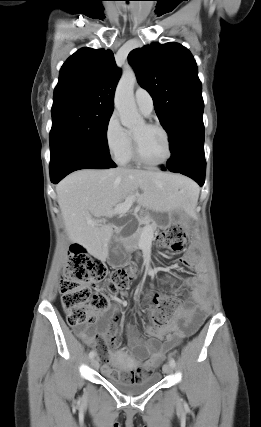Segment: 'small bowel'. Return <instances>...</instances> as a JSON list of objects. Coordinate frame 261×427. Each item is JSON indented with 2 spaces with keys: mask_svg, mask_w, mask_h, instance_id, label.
<instances>
[{
  "mask_svg": "<svg viewBox=\"0 0 261 427\" xmlns=\"http://www.w3.org/2000/svg\"><path fill=\"white\" fill-rule=\"evenodd\" d=\"M179 263L187 268L193 269L196 274L183 280V285L190 289L192 304H187L174 316L171 323L163 328L158 334H153L149 339H144L132 324L126 327L128 346L140 358L147 359L140 365L130 355H126L122 361L128 366L134 367V375L144 377L152 373L164 360L165 353L177 346L179 342L192 335L202 323L207 310L206 280L201 267L197 264L192 254H186ZM117 305L110 310V315H116L121 311V306L126 302L116 300ZM179 321H183L180 325ZM110 318L104 316L95 328H77V335L90 346H97L102 359L107 362V347L116 344V337L109 331ZM105 373H111L109 366L103 368Z\"/></svg>",
  "mask_w": 261,
  "mask_h": 427,
  "instance_id": "obj_1",
  "label": "small bowel"
}]
</instances>
